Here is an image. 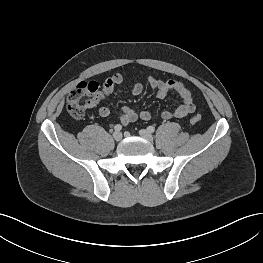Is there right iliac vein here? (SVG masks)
Wrapping results in <instances>:
<instances>
[{
  "instance_id": "63e3f726",
  "label": "right iliac vein",
  "mask_w": 263,
  "mask_h": 263,
  "mask_svg": "<svg viewBox=\"0 0 263 263\" xmlns=\"http://www.w3.org/2000/svg\"><path fill=\"white\" fill-rule=\"evenodd\" d=\"M113 138L116 140V141H120L122 139V133L121 132H114L113 133Z\"/></svg>"
}]
</instances>
